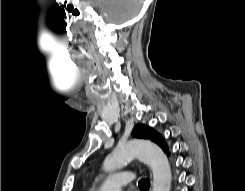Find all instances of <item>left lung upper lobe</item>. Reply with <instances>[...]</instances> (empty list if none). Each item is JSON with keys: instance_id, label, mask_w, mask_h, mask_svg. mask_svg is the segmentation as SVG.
<instances>
[{"instance_id": "5c2ea615", "label": "left lung upper lobe", "mask_w": 245, "mask_h": 191, "mask_svg": "<svg viewBox=\"0 0 245 191\" xmlns=\"http://www.w3.org/2000/svg\"><path fill=\"white\" fill-rule=\"evenodd\" d=\"M132 135L137 138L152 140L157 143L165 153H168V146L164 138L151 127L139 124L133 129Z\"/></svg>"}]
</instances>
